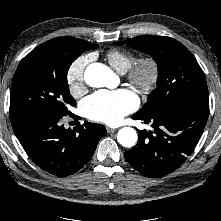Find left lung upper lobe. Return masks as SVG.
<instances>
[{"instance_id":"obj_1","label":"left lung upper lobe","mask_w":221,"mask_h":221,"mask_svg":"<svg viewBox=\"0 0 221 221\" xmlns=\"http://www.w3.org/2000/svg\"><path fill=\"white\" fill-rule=\"evenodd\" d=\"M115 44H127L142 50L150 54L157 63V88L150 93L140 113H159L186 102L209 107L205 74L183 44L170 37L154 35L137 36Z\"/></svg>"}]
</instances>
